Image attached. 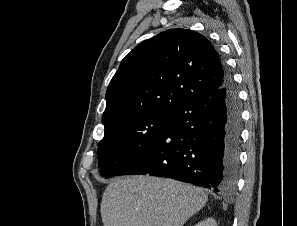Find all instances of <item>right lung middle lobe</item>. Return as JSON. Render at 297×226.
<instances>
[{"label": "right lung middle lobe", "instance_id": "dd1d6c3e", "mask_svg": "<svg viewBox=\"0 0 297 226\" xmlns=\"http://www.w3.org/2000/svg\"><path fill=\"white\" fill-rule=\"evenodd\" d=\"M174 111H151L105 127L99 143L101 175H116L142 153L173 121Z\"/></svg>", "mask_w": 297, "mask_h": 226}]
</instances>
